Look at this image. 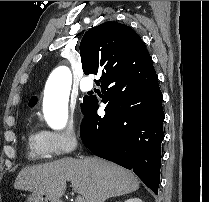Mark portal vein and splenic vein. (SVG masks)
Segmentation results:
<instances>
[{
  "mask_svg": "<svg viewBox=\"0 0 209 202\" xmlns=\"http://www.w3.org/2000/svg\"><path fill=\"white\" fill-rule=\"evenodd\" d=\"M75 202H85V200L82 196L78 195L75 199Z\"/></svg>",
  "mask_w": 209,
  "mask_h": 202,
  "instance_id": "18ae733b",
  "label": "portal vein and splenic vein"
}]
</instances>
